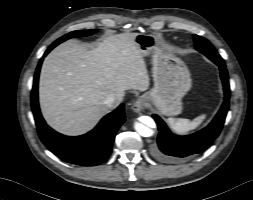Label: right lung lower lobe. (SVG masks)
<instances>
[{"label": "right lung lower lobe", "instance_id": "1", "mask_svg": "<svg viewBox=\"0 0 253 200\" xmlns=\"http://www.w3.org/2000/svg\"><path fill=\"white\" fill-rule=\"evenodd\" d=\"M55 46L51 45L45 52L46 56ZM43 59L36 68L31 106L38 134L45 146L60 159L77 165L94 166L102 163L111 153L112 144L117 130L125 121L124 105L109 113L98 125L87 134L70 137L57 133L44 121L38 104V78Z\"/></svg>", "mask_w": 253, "mask_h": 200}]
</instances>
